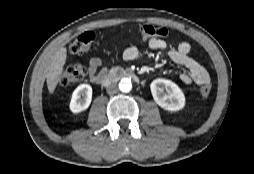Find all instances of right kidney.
Wrapping results in <instances>:
<instances>
[{
    "instance_id": "right-kidney-1",
    "label": "right kidney",
    "mask_w": 254,
    "mask_h": 174,
    "mask_svg": "<svg viewBox=\"0 0 254 174\" xmlns=\"http://www.w3.org/2000/svg\"><path fill=\"white\" fill-rule=\"evenodd\" d=\"M92 101V87L89 84L79 85L73 92L70 110L79 113L86 110Z\"/></svg>"
}]
</instances>
